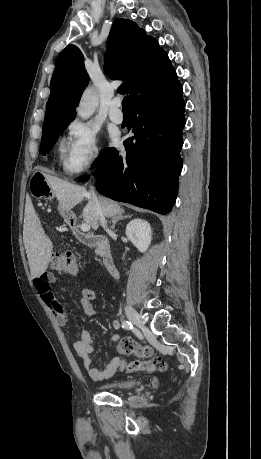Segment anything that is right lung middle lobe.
Here are the masks:
<instances>
[{"label": "right lung middle lobe", "instance_id": "obj_1", "mask_svg": "<svg viewBox=\"0 0 261 459\" xmlns=\"http://www.w3.org/2000/svg\"><path fill=\"white\" fill-rule=\"evenodd\" d=\"M69 123L59 124L55 126L45 127L42 132L41 152L45 155L57 141L60 134L67 128ZM103 154L97 158V164H100Z\"/></svg>", "mask_w": 261, "mask_h": 459}]
</instances>
